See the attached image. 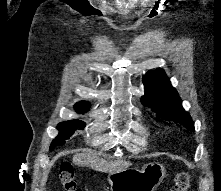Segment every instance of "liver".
I'll list each match as a JSON object with an SVG mask.
<instances>
[{"label": "liver", "mask_w": 221, "mask_h": 191, "mask_svg": "<svg viewBox=\"0 0 221 191\" xmlns=\"http://www.w3.org/2000/svg\"><path fill=\"white\" fill-rule=\"evenodd\" d=\"M73 162L76 165L80 166H88L96 171L101 172H116L127 168L131 165L130 162L127 161H111L108 162L104 159L99 158L96 153L92 150H86L85 153H76L73 157Z\"/></svg>", "instance_id": "6515ba94"}]
</instances>
